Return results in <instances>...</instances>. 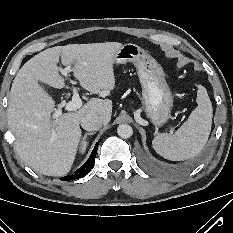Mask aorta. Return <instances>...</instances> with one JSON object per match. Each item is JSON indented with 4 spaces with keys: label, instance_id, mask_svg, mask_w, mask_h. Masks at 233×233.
I'll return each instance as SVG.
<instances>
[{
    "label": "aorta",
    "instance_id": "1",
    "mask_svg": "<svg viewBox=\"0 0 233 233\" xmlns=\"http://www.w3.org/2000/svg\"><path fill=\"white\" fill-rule=\"evenodd\" d=\"M117 133L121 138H130L133 134V129L128 124H121L117 128Z\"/></svg>",
    "mask_w": 233,
    "mask_h": 233
}]
</instances>
